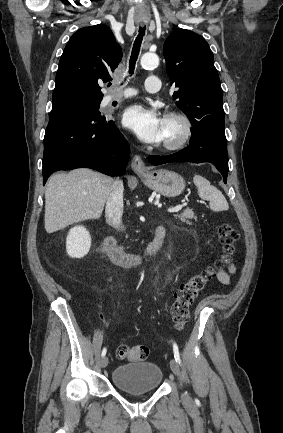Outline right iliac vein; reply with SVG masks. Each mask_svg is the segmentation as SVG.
<instances>
[{
	"label": "right iliac vein",
	"mask_w": 283,
	"mask_h": 433,
	"mask_svg": "<svg viewBox=\"0 0 283 433\" xmlns=\"http://www.w3.org/2000/svg\"><path fill=\"white\" fill-rule=\"evenodd\" d=\"M100 363L102 368H106L108 366V358L106 356L102 357Z\"/></svg>",
	"instance_id": "obj_1"
}]
</instances>
